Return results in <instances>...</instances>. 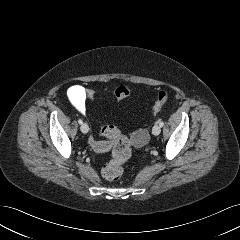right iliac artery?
Listing matches in <instances>:
<instances>
[{
  "label": "right iliac artery",
  "instance_id": "1",
  "mask_svg": "<svg viewBox=\"0 0 240 240\" xmlns=\"http://www.w3.org/2000/svg\"><path fill=\"white\" fill-rule=\"evenodd\" d=\"M79 124H83V121L81 119L78 120Z\"/></svg>",
  "mask_w": 240,
  "mask_h": 240
}]
</instances>
